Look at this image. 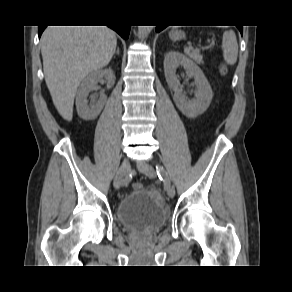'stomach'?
I'll return each mask as SVG.
<instances>
[{"label":"stomach","mask_w":292,"mask_h":292,"mask_svg":"<svg viewBox=\"0 0 292 292\" xmlns=\"http://www.w3.org/2000/svg\"><path fill=\"white\" fill-rule=\"evenodd\" d=\"M170 38L172 40H179V39L184 38V34L182 32H180V31H172L170 33Z\"/></svg>","instance_id":"obj_1"}]
</instances>
